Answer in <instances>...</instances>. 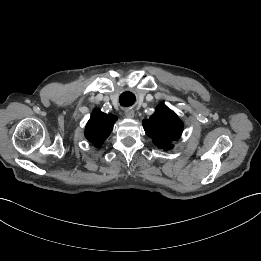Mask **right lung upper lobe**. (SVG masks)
Listing matches in <instances>:
<instances>
[{
    "label": "right lung upper lobe",
    "instance_id": "right-lung-upper-lobe-1",
    "mask_svg": "<svg viewBox=\"0 0 261 261\" xmlns=\"http://www.w3.org/2000/svg\"><path fill=\"white\" fill-rule=\"evenodd\" d=\"M115 120L116 118L112 115L94 111L86 126V138L96 146H100L109 136Z\"/></svg>",
    "mask_w": 261,
    "mask_h": 261
}]
</instances>
